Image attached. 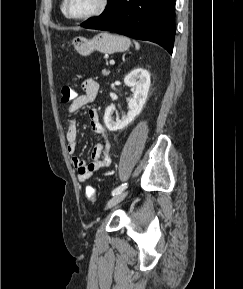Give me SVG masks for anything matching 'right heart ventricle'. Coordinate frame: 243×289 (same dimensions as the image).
Segmentation results:
<instances>
[{
    "mask_svg": "<svg viewBox=\"0 0 243 289\" xmlns=\"http://www.w3.org/2000/svg\"><path fill=\"white\" fill-rule=\"evenodd\" d=\"M60 8H61L62 13L65 14V11H64V0L62 1Z\"/></svg>",
    "mask_w": 243,
    "mask_h": 289,
    "instance_id": "1",
    "label": "right heart ventricle"
}]
</instances>
